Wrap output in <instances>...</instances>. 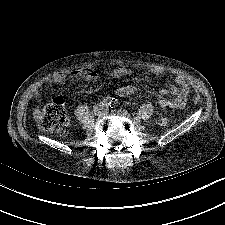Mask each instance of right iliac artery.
I'll return each instance as SVG.
<instances>
[{"instance_id":"82829eb1","label":"right iliac artery","mask_w":225,"mask_h":225,"mask_svg":"<svg viewBox=\"0 0 225 225\" xmlns=\"http://www.w3.org/2000/svg\"><path fill=\"white\" fill-rule=\"evenodd\" d=\"M113 99L114 98L106 97V98L103 99L102 104L105 105V106H110L111 107Z\"/></svg>"}]
</instances>
